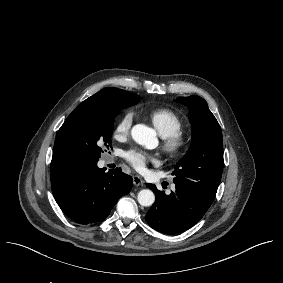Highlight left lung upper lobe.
<instances>
[{"label":"left lung upper lobe","instance_id":"left-lung-upper-lobe-1","mask_svg":"<svg viewBox=\"0 0 283 283\" xmlns=\"http://www.w3.org/2000/svg\"><path fill=\"white\" fill-rule=\"evenodd\" d=\"M177 102L188 106L192 124V142L176 164L174 183L213 202L223 170L222 131L206 101L199 96L181 97Z\"/></svg>","mask_w":283,"mask_h":283}]
</instances>
